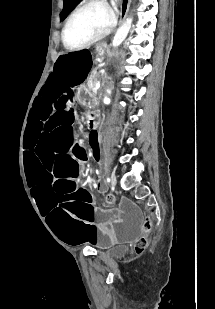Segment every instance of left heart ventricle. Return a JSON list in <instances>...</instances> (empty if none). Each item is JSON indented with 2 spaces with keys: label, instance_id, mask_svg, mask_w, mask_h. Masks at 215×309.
<instances>
[{
  "label": "left heart ventricle",
  "instance_id": "obj_1",
  "mask_svg": "<svg viewBox=\"0 0 215 309\" xmlns=\"http://www.w3.org/2000/svg\"><path fill=\"white\" fill-rule=\"evenodd\" d=\"M105 11L99 8L87 9L79 13L70 24L66 40L70 46L80 45V41H89L90 34L95 29H103L107 25V18H104Z\"/></svg>",
  "mask_w": 215,
  "mask_h": 309
}]
</instances>
